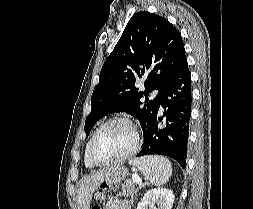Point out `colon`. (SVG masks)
Returning <instances> with one entry per match:
<instances>
[{"label":"colon","instance_id":"colon-1","mask_svg":"<svg viewBox=\"0 0 253 209\" xmlns=\"http://www.w3.org/2000/svg\"><path fill=\"white\" fill-rule=\"evenodd\" d=\"M92 209H99V207H97V206H94Z\"/></svg>","mask_w":253,"mask_h":209}]
</instances>
